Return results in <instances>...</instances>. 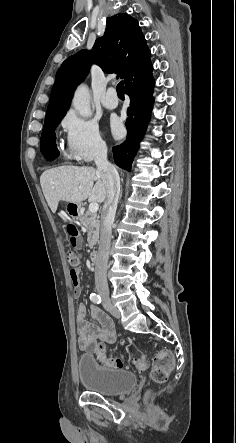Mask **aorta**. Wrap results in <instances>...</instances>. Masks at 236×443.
I'll return each instance as SVG.
<instances>
[{
  "label": "aorta",
  "mask_w": 236,
  "mask_h": 443,
  "mask_svg": "<svg viewBox=\"0 0 236 443\" xmlns=\"http://www.w3.org/2000/svg\"><path fill=\"white\" fill-rule=\"evenodd\" d=\"M72 104L74 109L83 117L91 116L90 92L87 86L80 85L74 93Z\"/></svg>",
  "instance_id": "aorta-1"
}]
</instances>
